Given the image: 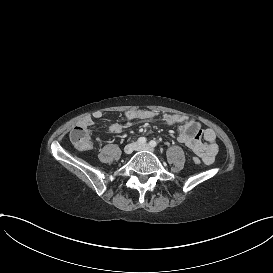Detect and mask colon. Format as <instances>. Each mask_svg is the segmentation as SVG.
I'll return each mask as SVG.
<instances>
[{
  "mask_svg": "<svg viewBox=\"0 0 273 273\" xmlns=\"http://www.w3.org/2000/svg\"><path fill=\"white\" fill-rule=\"evenodd\" d=\"M91 127V120L88 118H82L79 120L75 129L70 131L69 138L73 142V146L76 150L83 151L94 147V138L91 136H86Z\"/></svg>",
  "mask_w": 273,
  "mask_h": 273,
  "instance_id": "colon-1",
  "label": "colon"
}]
</instances>
